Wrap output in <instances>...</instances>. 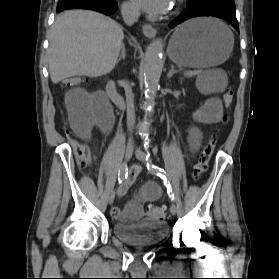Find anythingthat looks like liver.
Instances as JSON below:
<instances>
[{
    "mask_svg": "<svg viewBox=\"0 0 279 279\" xmlns=\"http://www.w3.org/2000/svg\"><path fill=\"white\" fill-rule=\"evenodd\" d=\"M123 31L113 19L86 10L65 11L50 33L48 63L54 84L74 76L98 77L113 70Z\"/></svg>",
    "mask_w": 279,
    "mask_h": 279,
    "instance_id": "obj_1",
    "label": "liver"
}]
</instances>
